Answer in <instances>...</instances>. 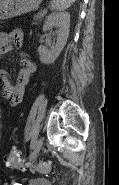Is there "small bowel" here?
Here are the masks:
<instances>
[{
  "instance_id": "small-bowel-1",
  "label": "small bowel",
  "mask_w": 119,
  "mask_h": 185,
  "mask_svg": "<svg viewBox=\"0 0 119 185\" xmlns=\"http://www.w3.org/2000/svg\"><path fill=\"white\" fill-rule=\"evenodd\" d=\"M23 43V32L20 29H14L10 32L0 34V52L2 54L9 52L13 47L20 48ZM22 68L19 71L16 83L9 80L8 72L0 70V85L3 98L11 105H18L25 94L26 86L32 74L35 71L34 63L28 58L27 54H21Z\"/></svg>"
}]
</instances>
